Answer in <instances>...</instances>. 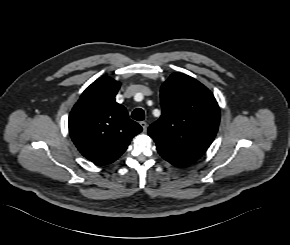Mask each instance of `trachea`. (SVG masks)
<instances>
[{"instance_id":"obj_1","label":"trachea","mask_w":290,"mask_h":245,"mask_svg":"<svg viewBox=\"0 0 290 245\" xmlns=\"http://www.w3.org/2000/svg\"><path fill=\"white\" fill-rule=\"evenodd\" d=\"M131 117H132L134 120L142 121V120H144V118H145V114H144V111H143L141 108H137V109H135V110L132 112Z\"/></svg>"}]
</instances>
